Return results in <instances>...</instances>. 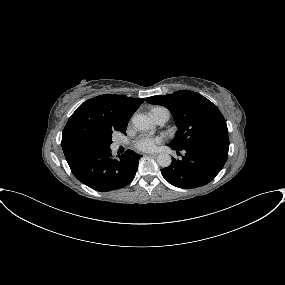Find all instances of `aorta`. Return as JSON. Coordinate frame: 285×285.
Instances as JSON below:
<instances>
[{
	"label": "aorta",
	"mask_w": 285,
	"mask_h": 285,
	"mask_svg": "<svg viewBox=\"0 0 285 285\" xmlns=\"http://www.w3.org/2000/svg\"><path fill=\"white\" fill-rule=\"evenodd\" d=\"M133 126L140 131H148L153 129V123L150 118L144 114H135L132 117ZM172 162L171 156L167 153H162L157 156V163L161 167H168Z\"/></svg>",
	"instance_id": "1"
}]
</instances>
